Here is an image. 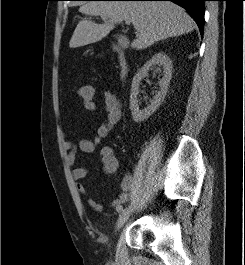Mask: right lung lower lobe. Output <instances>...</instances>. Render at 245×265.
Returning a JSON list of instances; mask_svg holds the SVG:
<instances>
[{
    "label": "right lung lower lobe",
    "instance_id": "1",
    "mask_svg": "<svg viewBox=\"0 0 245 265\" xmlns=\"http://www.w3.org/2000/svg\"><path fill=\"white\" fill-rule=\"evenodd\" d=\"M91 1V0H88ZM122 1H172L184 9H186L190 16L197 23L201 35H203L204 27V1L206 0H122Z\"/></svg>",
    "mask_w": 245,
    "mask_h": 265
}]
</instances>
